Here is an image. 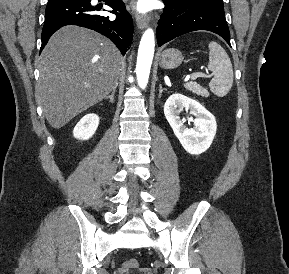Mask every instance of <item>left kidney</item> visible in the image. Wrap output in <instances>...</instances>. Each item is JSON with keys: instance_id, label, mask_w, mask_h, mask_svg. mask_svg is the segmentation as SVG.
<instances>
[{"instance_id": "5707ae66", "label": "left kidney", "mask_w": 289, "mask_h": 274, "mask_svg": "<svg viewBox=\"0 0 289 274\" xmlns=\"http://www.w3.org/2000/svg\"><path fill=\"white\" fill-rule=\"evenodd\" d=\"M185 109L194 114L193 128L184 125L180 113ZM164 114L183 148L192 155L205 152L211 145L217 130L214 116L199 102L182 94L171 95L164 105Z\"/></svg>"}]
</instances>
